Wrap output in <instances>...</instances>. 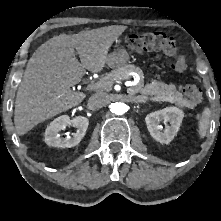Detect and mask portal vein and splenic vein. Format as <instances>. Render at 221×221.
Here are the masks:
<instances>
[{
  "mask_svg": "<svg viewBox=\"0 0 221 221\" xmlns=\"http://www.w3.org/2000/svg\"><path fill=\"white\" fill-rule=\"evenodd\" d=\"M124 84H125V86H127V87H131V86L135 85V82L125 81ZM103 86H104V83L100 80V81H98V82L89 84V85L87 86V90L102 89ZM128 92H129L130 94H133V91H132L131 88H128ZM151 100H152V101H155V102H157V101H162V99H161L160 97H153V98H151Z\"/></svg>",
  "mask_w": 221,
  "mask_h": 221,
  "instance_id": "1",
  "label": "portal vein and splenic vein"
}]
</instances>
